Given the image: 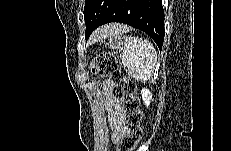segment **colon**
I'll return each mask as SVG.
<instances>
[{
	"instance_id": "colon-1",
	"label": "colon",
	"mask_w": 231,
	"mask_h": 151,
	"mask_svg": "<svg viewBox=\"0 0 231 151\" xmlns=\"http://www.w3.org/2000/svg\"><path fill=\"white\" fill-rule=\"evenodd\" d=\"M92 71L108 76L113 96L119 102L126 123L127 129L117 142V151H132L142 136V112L135 94V83L130 79L121 62L112 54L96 56L92 61Z\"/></svg>"
}]
</instances>
